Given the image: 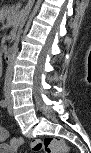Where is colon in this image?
<instances>
[{
    "label": "colon",
    "instance_id": "1",
    "mask_svg": "<svg viewBox=\"0 0 91 153\" xmlns=\"http://www.w3.org/2000/svg\"><path fill=\"white\" fill-rule=\"evenodd\" d=\"M22 145V140L17 139L15 148H19ZM31 149L34 152L44 153H69L70 148L65 141L59 137H47L44 139H35L31 143Z\"/></svg>",
    "mask_w": 91,
    "mask_h": 153
}]
</instances>
